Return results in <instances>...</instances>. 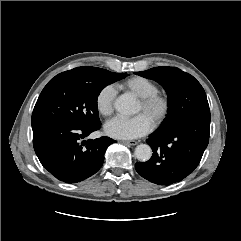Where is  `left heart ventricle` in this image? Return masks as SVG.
<instances>
[{"mask_svg": "<svg viewBox=\"0 0 241 241\" xmlns=\"http://www.w3.org/2000/svg\"><path fill=\"white\" fill-rule=\"evenodd\" d=\"M138 111L139 112H144V110H143V107H142V105H141V103L139 104V108H138ZM150 119H151V116H150V114L149 113H146V112H144Z\"/></svg>", "mask_w": 241, "mask_h": 241, "instance_id": "1", "label": "left heart ventricle"}]
</instances>
